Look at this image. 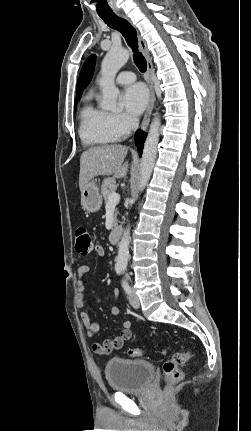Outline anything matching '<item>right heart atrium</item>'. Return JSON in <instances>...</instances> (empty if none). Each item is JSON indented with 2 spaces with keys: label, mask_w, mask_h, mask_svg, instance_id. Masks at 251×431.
<instances>
[{
  "label": "right heart atrium",
  "mask_w": 251,
  "mask_h": 431,
  "mask_svg": "<svg viewBox=\"0 0 251 431\" xmlns=\"http://www.w3.org/2000/svg\"><path fill=\"white\" fill-rule=\"evenodd\" d=\"M109 126L117 138L127 135L135 126V120L124 113L109 114Z\"/></svg>",
  "instance_id": "obj_1"
}]
</instances>
